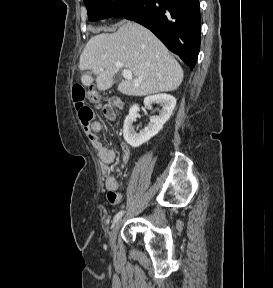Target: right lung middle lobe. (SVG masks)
I'll return each instance as SVG.
<instances>
[{
	"instance_id": "right-lung-middle-lobe-1",
	"label": "right lung middle lobe",
	"mask_w": 273,
	"mask_h": 288,
	"mask_svg": "<svg viewBox=\"0 0 273 288\" xmlns=\"http://www.w3.org/2000/svg\"><path fill=\"white\" fill-rule=\"evenodd\" d=\"M138 0H84L92 22L108 17H122Z\"/></svg>"
}]
</instances>
